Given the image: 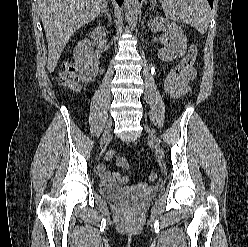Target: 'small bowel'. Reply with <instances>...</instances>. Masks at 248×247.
<instances>
[{"instance_id": "c3829d8e", "label": "small bowel", "mask_w": 248, "mask_h": 247, "mask_svg": "<svg viewBox=\"0 0 248 247\" xmlns=\"http://www.w3.org/2000/svg\"><path fill=\"white\" fill-rule=\"evenodd\" d=\"M195 77V70L191 68L186 72V74L183 76L181 85L179 88V91L176 95V97L185 95L189 90V83L194 79ZM97 173L100 177V179L104 183L108 184H125L128 181V177L126 175H122L118 172H110L106 170L105 165L100 164L97 166Z\"/></svg>"}]
</instances>
